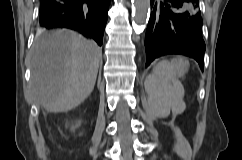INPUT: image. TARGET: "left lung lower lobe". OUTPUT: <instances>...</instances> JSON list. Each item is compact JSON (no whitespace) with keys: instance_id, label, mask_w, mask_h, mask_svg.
<instances>
[{"instance_id":"left-lung-lower-lobe-1","label":"left lung lower lobe","mask_w":242,"mask_h":160,"mask_svg":"<svg viewBox=\"0 0 242 160\" xmlns=\"http://www.w3.org/2000/svg\"><path fill=\"white\" fill-rule=\"evenodd\" d=\"M145 37L146 67L167 54L194 58L203 70L205 43L199 0H151Z\"/></svg>"}]
</instances>
